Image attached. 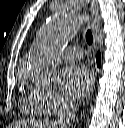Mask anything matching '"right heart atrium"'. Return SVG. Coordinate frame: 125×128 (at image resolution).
<instances>
[{"mask_svg": "<svg viewBox=\"0 0 125 128\" xmlns=\"http://www.w3.org/2000/svg\"><path fill=\"white\" fill-rule=\"evenodd\" d=\"M34 97L47 113L57 115L70 107L71 103L50 86H39L32 91Z\"/></svg>", "mask_w": 125, "mask_h": 128, "instance_id": "obj_1", "label": "right heart atrium"}]
</instances>
